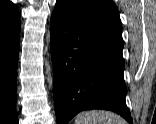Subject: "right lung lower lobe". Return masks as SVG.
<instances>
[{
  "mask_svg": "<svg viewBox=\"0 0 156 124\" xmlns=\"http://www.w3.org/2000/svg\"><path fill=\"white\" fill-rule=\"evenodd\" d=\"M20 28L0 29V124H18L15 104Z\"/></svg>",
  "mask_w": 156,
  "mask_h": 124,
  "instance_id": "right-lung-lower-lobe-1",
  "label": "right lung lower lobe"
}]
</instances>
